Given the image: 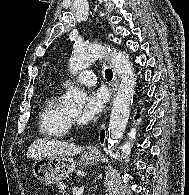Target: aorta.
I'll use <instances>...</instances> for the list:
<instances>
[{"label": "aorta", "mask_w": 189, "mask_h": 195, "mask_svg": "<svg viewBox=\"0 0 189 195\" xmlns=\"http://www.w3.org/2000/svg\"><path fill=\"white\" fill-rule=\"evenodd\" d=\"M104 55L110 56L120 79L108 125L107 143L109 150H113L126 130L135 94L136 79L131 62L122 52L110 50L102 45L76 44L69 60V69L71 73L76 74ZM86 100L87 96L82 91L71 88L66 92L63 104L68 108L81 109Z\"/></svg>", "instance_id": "762f6f07"}]
</instances>
